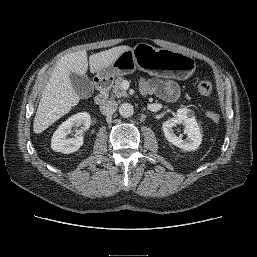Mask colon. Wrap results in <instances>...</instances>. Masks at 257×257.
Wrapping results in <instances>:
<instances>
[{"mask_svg": "<svg viewBox=\"0 0 257 257\" xmlns=\"http://www.w3.org/2000/svg\"><path fill=\"white\" fill-rule=\"evenodd\" d=\"M197 90L202 96H208L212 93L213 90L212 83L208 80H201L197 85ZM207 117L213 122H217L219 120L218 113L214 111H208Z\"/></svg>", "mask_w": 257, "mask_h": 257, "instance_id": "5ec220e1", "label": "colon"}]
</instances>
